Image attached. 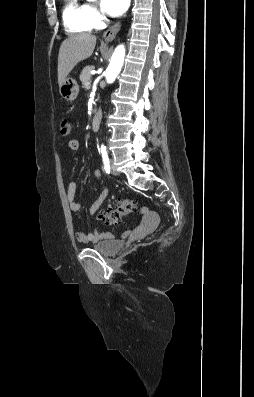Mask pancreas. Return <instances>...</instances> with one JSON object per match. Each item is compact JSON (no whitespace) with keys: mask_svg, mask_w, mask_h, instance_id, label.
I'll return each instance as SVG.
<instances>
[{"mask_svg":"<svg viewBox=\"0 0 254 397\" xmlns=\"http://www.w3.org/2000/svg\"><path fill=\"white\" fill-rule=\"evenodd\" d=\"M94 69V66L92 65H88L86 67H84V69L82 70L81 74H80V81L82 82V84L84 85V87L86 86V83L90 81L91 79V74L90 72Z\"/></svg>","mask_w":254,"mask_h":397,"instance_id":"cf45deb5","label":"pancreas"}]
</instances>
